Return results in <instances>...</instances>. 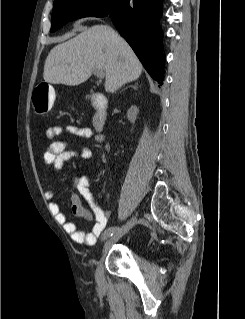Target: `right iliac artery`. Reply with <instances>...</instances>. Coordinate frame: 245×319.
I'll return each mask as SVG.
<instances>
[{
  "mask_svg": "<svg viewBox=\"0 0 245 319\" xmlns=\"http://www.w3.org/2000/svg\"><path fill=\"white\" fill-rule=\"evenodd\" d=\"M120 228L119 227H110L107 229V233L112 236L115 232H117Z\"/></svg>",
  "mask_w": 245,
  "mask_h": 319,
  "instance_id": "obj_1",
  "label": "right iliac artery"
}]
</instances>
